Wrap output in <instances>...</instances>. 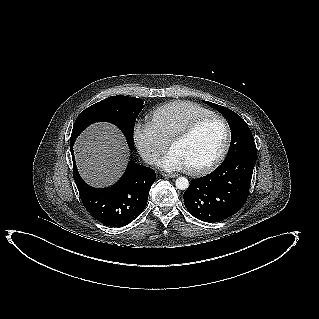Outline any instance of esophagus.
Instances as JSON below:
<instances>
[{
    "label": "esophagus",
    "instance_id": "1",
    "mask_svg": "<svg viewBox=\"0 0 319 319\" xmlns=\"http://www.w3.org/2000/svg\"><path fill=\"white\" fill-rule=\"evenodd\" d=\"M162 176L165 177V178H175L177 175L176 174L163 173Z\"/></svg>",
    "mask_w": 319,
    "mask_h": 319
}]
</instances>
